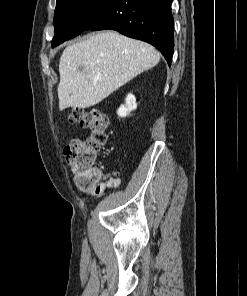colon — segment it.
<instances>
[{
    "mask_svg": "<svg viewBox=\"0 0 247 296\" xmlns=\"http://www.w3.org/2000/svg\"><path fill=\"white\" fill-rule=\"evenodd\" d=\"M69 121L90 131L86 138L75 139L66 146L65 157L77 187L82 190L93 189L103 181V171L96 165V160L100 149L107 142V118L96 109H79L71 113Z\"/></svg>",
    "mask_w": 247,
    "mask_h": 296,
    "instance_id": "colon-1",
    "label": "colon"
}]
</instances>
